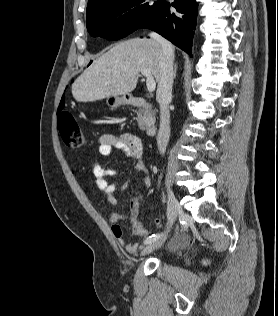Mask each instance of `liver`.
Listing matches in <instances>:
<instances>
[{
	"instance_id": "obj_1",
	"label": "liver",
	"mask_w": 278,
	"mask_h": 316,
	"mask_svg": "<svg viewBox=\"0 0 278 316\" xmlns=\"http://www.w3.org/2000/svg\"><path fill=\"white\" fill-rule=\"evenodd\" d=\"M160 62L161 45L156 40L134 38L120 42L94 60L75 80L73 97L78 102H93L129 94L135 89L142 69H149L159 83Z\"/></svg>"
}]
</instances>
